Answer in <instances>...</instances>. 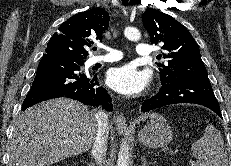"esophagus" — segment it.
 I'll use <instances>...</instances> for the list:
<instances>
[{
    "label": "esophagus",
    "instance_id": "34e87169",
    "mask_svg": "<svg viewBox=\"0 0 231 166\" xmlns=\"http://www.w3.org/2000/svg\"><path fill=\"white\" fill-rule=\"evenodd\" d=\"M114 123L118 132L123 133L128 131L126 118L123 113H117Z\"/></svg>",
    "mask_w": 231,
    "mask_h": 166
}]
</instances>
